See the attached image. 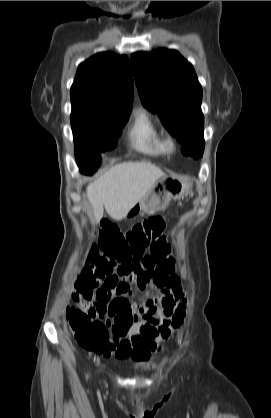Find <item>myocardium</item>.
<instances>
[{
    "instance_id": "obj_1",
    "label": "myocardium",
    "mask_w": 271,
    "mask_h": 418,
    "mask_svg": "<svg viewBox=\"0 0 271 418\" xmlns=\"http://www.w3.org/2000/svg\"><path fill=\"white\" fill-rule=\"evenodd\" d=\"M163 144L166 149V151L173 153L176 151V139L172 135H168L165 138H163Z\"/></svg>"
}]
</instances>
